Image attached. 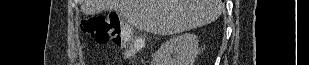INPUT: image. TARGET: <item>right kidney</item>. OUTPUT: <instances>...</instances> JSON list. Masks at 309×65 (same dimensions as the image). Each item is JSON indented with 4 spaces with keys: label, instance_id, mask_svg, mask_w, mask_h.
<instances>
[{
    "label": "right kidney",
    "instance_id": "1",
    "mask_svg": "<svg viewBox=\"0 0 309 65\" xmlns=\"http://www.w3.org/2000/svg\"><path fill=\"white\" fill-rule=\"evenodd\" d=\"M198 53V38L193 33L173 36L155 54L154 65H193ZM172 54L173 58H172Z\"/></svg>",
    "mask_w": 309,
    "mask_h": 65
}]
</instances>
